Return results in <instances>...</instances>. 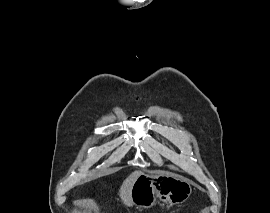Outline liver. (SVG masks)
<instances>
[{
	"mask_svg": "<svg viewBox=\"0 0 270 213\" xmlns=\"http://www.w3.org/2000/svg\"><path fill=\"white\" fill-rule=\"evenodd\" d=\"M143 174L141 171H134L131 173L122 183L120 190H119V196L122 200V202L127 206L131 207L133 205L131 192L133 184L135 183L136 179Z\"/></svg>",
	"mask_w": 270,
	"mask_h": 213,
	"instance_id": "1",
	"label": "liver"
}]
</instances>
